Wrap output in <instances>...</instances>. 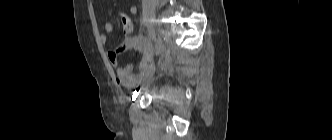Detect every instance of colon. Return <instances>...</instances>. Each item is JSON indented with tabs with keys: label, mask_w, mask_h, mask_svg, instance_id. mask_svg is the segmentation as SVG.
I'll use <instances>...</instances> for the list:
<instances>
[{
	"label": "colon",
	"mask_w": 332,
	"mask_h": 140,
	"mask_svg": "<svg viewBox=\"0 0 332 140\" xmlns=\"http://www.w3.org/2000/svg\"><path fill=\"white\" fill-rule=\"evenodd\" d=\"M119 18L124 34L128 36L131 35L134 31V25L130 17L126 14H121Z\"/></svg>",
	"instance_id": "colon-1"
}]
</instances>
